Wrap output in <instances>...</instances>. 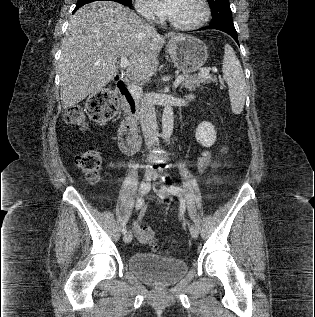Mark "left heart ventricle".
Masks as SVG:
<instances>
[{"label": "left heart ventricle", "instance_id": "b2bd125f", "mask_svg": "<svg viewBox=\"0 0 315 317\" xmlns=\"http://www.w3.org/2000/svg\"><path fill=\"white\" fill-rule=\"evenodd\" d=\"M201 14L199 0H179L170 19L178 23H191L198 20Z\"/></svg>", "mask_w": 315, "mask_h": 317}]
</instances>
